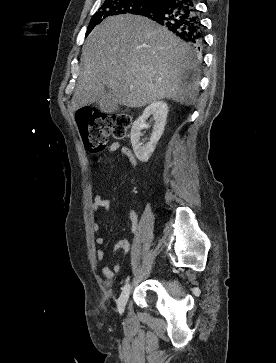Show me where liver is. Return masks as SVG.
Here are the masks:
<instances>
[{"instance_id": "liver-1", "label": "liver", "mask_w": 276, "mask_h": 363, "mask_svg": "<svg viewBox=\"0 0 276 363\" xmlns=\"http://www.w3.org/2000/svg\"><path fill=\"white\" fill-rule=\"evenodd\" d=\"M82 62L73 111L101 99L106 88L117 103L130 108L161 99L190 105L198 95L195 51L145 17L119 15L104 20L87 37Z\"/></svg>"}]
</instances>
